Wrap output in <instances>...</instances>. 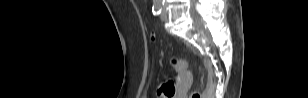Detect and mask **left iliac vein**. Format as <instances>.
<instances>
[{"mask_svg": "<svg viewBox=\"0 0 308 98\" xmlns=\"http://www.w3.org/2000/svg\"><path fill=\"white\" fill-rule=\"evenodd\" d=\"M167 17H168V13H167L166 9L163 8L161 15H160V18H161L162 21H165V20H167Z\"/></svg>", "mask_w": 308, "mask_h": 98, "instance_id": "1", "label": "left iliac vein"}]
</instances>
